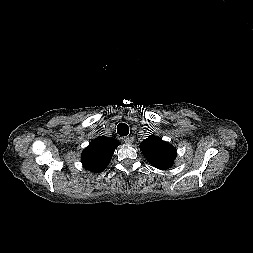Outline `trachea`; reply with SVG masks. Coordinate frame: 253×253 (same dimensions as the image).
Instances as JSON below:
<instances>
[{
	"mask_svg": "<svg viewBox=\"0 0 253 253\" xmlns=\"http://www.w3.org/2000/svg\"><path fill=\"white\" fill-rule=\"evenodd\" d=\"M117 133L120 136H127L129 134V127L125 123H119L117 126Z\"/></svg>",
	"mask_w": 253,
	"mask_h": 253,
	"instance_id": "obj_1",
	"label": "trachea"
}]
</instances>
